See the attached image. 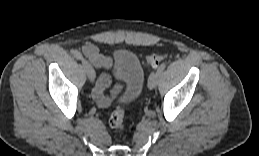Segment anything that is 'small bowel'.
Returning a JSON list of instances; mask_svg holds the SVG:
<instances>
[{
  "label": "small bowel",
  "mask_w": 259,
  "mask_h": 156,
  "mask_svg": "<svg viewBox=\"0 0 259 156\" xmlns=\"http://www.w3.org/2000/svg\"><path fill=\"white\" fill-rule=\"evenodd\" d=\"M82 52L85 55V57L89 60V62L97 68L111 69L113 67L112 58L109 56L102 55L94 44H85L82 47ZM110 83V76L108 74H102L99 77L98 82L93 90L94 99L102 107L108 106L111 101L110 98L105 97L103 94L105 88H107L110 85ZM121 88V86H117L113 91V95L118 93L121 90Z\"/></svg>",
  "instance_id": "obj_1"
}]
</instances>
